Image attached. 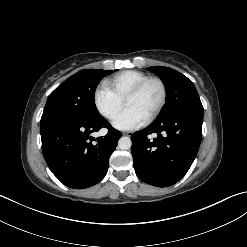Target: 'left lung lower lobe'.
<instances>
[{
	"label": "left lung lower lobe",
	"instance_id": "0a47b994",
	"mask_svg": "<svg viewBox=\"0 0 247 247\" xmlns=\"http://www.w3.org/2000/svg\"><path fill=\"white\" fill-rule=\"evenodd\" d=\"M203 113L179 112L135 132L132 155L140 180L157 187L175 184L191 167L202 137ZM156 133L157 137L149 139Z\"/></svg>",
	"mask_w": 247,
	"mask_h": 247
}]
</instances>
